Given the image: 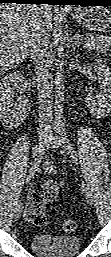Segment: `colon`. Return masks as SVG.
Returning a JSON list of instances; mask_svg holds the SVG:
<instances>
[{
    "label": "colon",
    "mask_w": 111,
    "mask_h": 257,
    "mask_svg": "<svg viewBox=\"0 0 111 257\" xmlns=\"http://www.w3.org/2000/svg\"><path fill=\"white\" fill-rule=\"evenodd\" d=\"M61 227L64 232L71 233L76 230L77 225L75 221L68 219L62 222Z\"/></svg>",
    "instance_id": "obj_1"
}]
</instances>
